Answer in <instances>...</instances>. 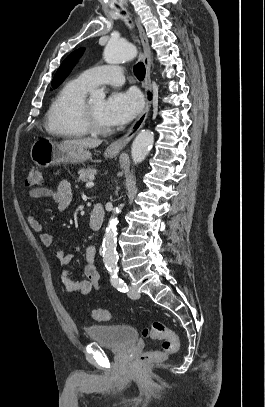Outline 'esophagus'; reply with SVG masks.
Wrapping results in <instances>:
<instances>
[{
    "instance_id": "1",
    "label": "esophagus",
    "mask_w": 265,
    "mask_h": 407,
    "mask_svg": "<svg viewBox=\"0 0 265 407\" xmlns=\"http://www.w3.org/2000/svg\"><path fill=\"white\" fill-rule=\"evenodd\" d=\"M136 25L138 28L139 36L141 39L142 47H143V63L145 67V78H144V91L146 95V105L141 114L135 120V122L131 125L128 131L119 139L114 141L110 144L109 148L113 151H120L122 150L129 141L136 135V133L144 126L145 121L148 117L151 101L148 98V94L152 91V84H151V51L149 47V41L145 34V31L141 25V23L135 19Z\"/></svg>"
}]
</instances>
